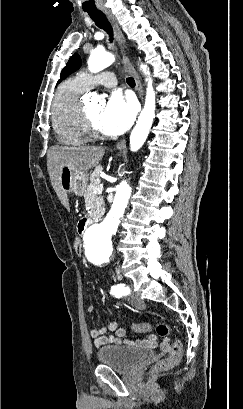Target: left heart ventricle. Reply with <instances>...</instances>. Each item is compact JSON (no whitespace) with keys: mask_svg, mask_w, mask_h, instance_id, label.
Masks as SVG:
<instances>
[{"mask_svg":"<svg viewBox=\"0 0 243 409\" xmlns=\"http://www.w3.org/2000/svg\"><path fill=\"white\" fill-rule=\"evenodd\" d=\"M102 110L103 105L101 104L87 107L88 114L90 115L91 119L93 120L98 129H100L99 118Z\"/></svg>","mask_w":243,"mask_h":409,"instance_id":"left-heart-ventricle-1","label":"left heart ventricle"}]
</instances>
